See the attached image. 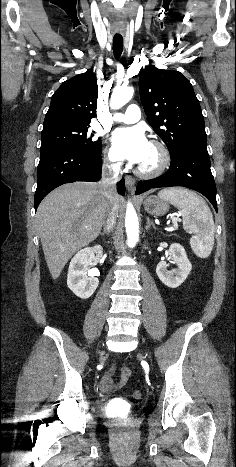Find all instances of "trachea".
Returning <instances> with one entry per match:
<instances>
[{"mask_svg":"<svg viewBox=\"0 0 236 467\" xmlns=\"http://www.w3.org/2000/svg\"><path fill=\"white\" fill-rule=\"evenodd\" d=\"M123 51V38L114 37L113 38V53L116 59H118Z\"/></svg>","mask_w":236,"mask_h":467,"instance_id":"trachea-1","label":"trachea"}]
</instances>
